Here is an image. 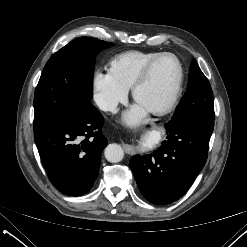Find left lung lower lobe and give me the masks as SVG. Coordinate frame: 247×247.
Returning <instances> with one entry per match:
<instances>
[{
	"label": "left lung lower lobe",
	"mask_w": 247,
	"mask_h": 247,
	"mask_svg": "<svg viewBox=\"0 0 247 247\" xmlns=\"http://www.w3.org/2000/svg\"><path fill=\"white\" fill-rule=\"evenodd\" d=\"M165 128L167 140L159 149L130 161L138 188L156 205L170 204L188 191L206 163L214 120L190 114Z\"/></svg>",
	"instance_id": "left-lung-lower-lobe-1"
}]
</instances>
